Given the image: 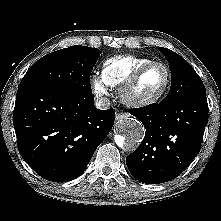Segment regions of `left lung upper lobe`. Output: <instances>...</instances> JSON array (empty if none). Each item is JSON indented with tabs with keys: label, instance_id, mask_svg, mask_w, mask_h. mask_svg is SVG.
<instances>
[{
	"label": "left lung upper lobe",
	"instance_id": "1",
	"mask_svg": "<svg viewBox=\"0 0 221 221\" xmlns=\"http://www.w3.org/2000/svg\"><path fill=\"white\" fill-rule=\"evenodd\" d=\"M158 49L168 60L171 71V88L163 101L176 103L187 97L206 96L202 80L183 57L167 48Z\"/></svg>",
	"mask_w": 221,
	"mask_h": 221
}]
</instances>
